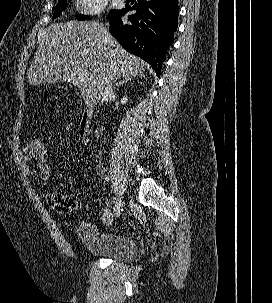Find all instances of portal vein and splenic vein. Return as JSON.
I'll list each match as a JSON object with an SVG mask.
<instances>
[{
  "label": "portal vein and splenic vein",
  "mask_w": 272,
  "mask_h": 303,
  "mask_svg": "<svg viewBox=\"0 0 272 303\" xmlns=\"http://www.w3.org/2000/svg\"><path fill=\"white\" fill-rule=\"evenodd\" d=\"M78 80H79L80 83H85L89 80V78L85 74H80L78 76Z\"/></svg>",
  "instance_id": "portal-vein-and-splenic-vein-1"
}]
</instances>
